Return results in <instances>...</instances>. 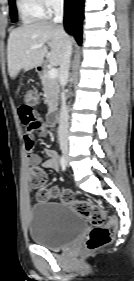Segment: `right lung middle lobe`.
<instances>
[{
	"instance_id": "obj_1",
	"label": "right lung middle lobe",
	"mask_w": 134,
	"mask_h": 281,
	"mask_svg": "<svg viewBox=\"0 0 134 281\" xmlns=\"http://www.w3.org/2000/svg\"><path fill=\"white\" fill-rule=\"evenodd\" d=\"M15 0H9V5H10V14H11V19L13 22L17 21V10L15 6Z\"/></svg>"
}]
</instances>
